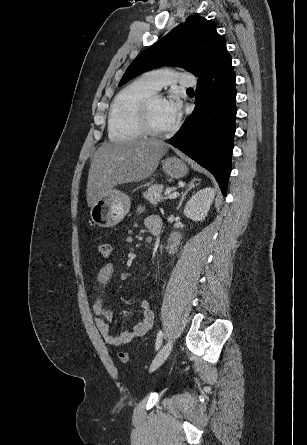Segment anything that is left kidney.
Returning a JSON list of instances; mask_svg holds the SVG:
<instances>
[{
    "label": "left kidney",
    "mask_w": 307,
    "mask_h": 445,
    "mask_svg": "<svg viewBox=\"0 0 307 445\" xmlns=\"http://www.w3.org/2000/svg\"><path fill=\"white\" fill-rule=\"evenodd\" d=\"M214 196L215 188H211V186L198 190L189 198L184 208V214L189 216V218H193V220H204L214 200Z\"/></svg>",
    "instance_id": "5707ae66"
}]
</instances>
